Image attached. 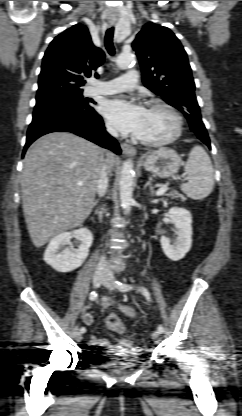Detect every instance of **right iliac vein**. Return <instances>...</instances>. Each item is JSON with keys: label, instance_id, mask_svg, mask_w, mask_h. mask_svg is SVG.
<instances>
[{"label": "right iliac vein", "instance_id": "right-iliac-vein-1", "mask_svg": "<svg viewBox=\"0 0 242 416\" xmlns=\"http://www.w3.org/2000/svg\"><path fill=\"white\" fill-rule=\"evenodd\" d=\"M104 278H105L104 272L100 269H97L94 272L93 277H92V282H93L94 287L96 288L99 287L102 281L104 280ZM74 337L77 341L82 340V333L78 327L75 328Z\"/></svg>", "mask_w": 242, "mask_h": 416}]
</instances>
